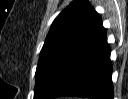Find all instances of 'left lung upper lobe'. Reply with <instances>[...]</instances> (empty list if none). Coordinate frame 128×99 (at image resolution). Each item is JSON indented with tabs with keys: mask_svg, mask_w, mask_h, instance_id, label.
Wrapping results in <instances>:
<instances>
[{
	"mask_svg": "<svg viewBox=\"0 0 128 99\" xmlns=\"http://www.w3.org/2000/svg\"><path fill=\"white\" fill-rule=\"evenodd\" d=\"M101 23L88 1L75 0L53 21L35 73L34 99H43L57 70L93 34Z\"/></svg>",
	"mask_w": 128,
	"mask_h": 99,
	"instance_id": "1",
	"label": "left lung upper lobe"
}]
</instances>
